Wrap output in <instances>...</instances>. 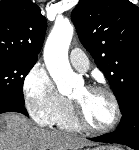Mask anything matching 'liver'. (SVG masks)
Wrapping results in <instances>:
<instances>
[{"mask_svg":"<svg viewBox=\"0 0 139 150\" xmlns=\"http://www.w3.org/2000/svg\"><path fill=\"white\" fill-rule=\"evenodd\" d=\"M87 145L82 138L35 127L21 114L0 116V150H79Z\"/></svg>","mask_w":139,"mask_h":150,"instance_id":"obj_1","label":"liver"}]
</instances>
